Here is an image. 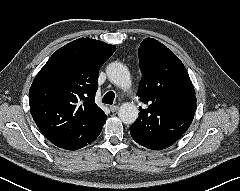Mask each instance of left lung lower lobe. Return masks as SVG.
Here are the masks:
<instances>
[{
    "label": "left lung lower lobe",
    "mask_w": 240,
    "mask_h": 191,
    "mask_svg": "<svg viewBox=\"0 0 240 191\" xmlns=\"http://www.w3.org/2000/svg\"><path fill=\"white\" fill-rule=\"evenodd\" d=\"M141 122L143 121L138 120L135 125L132 124L130 127L132 138L140 145L153 150H161L173 145L177 141L170 138L167 132L161 131L160 127L157 128L154 125H150L153 128H150V132L147 135L143 134Z\"/></svg>",
    "instance_id": "left-lung-lower-lobe-1"
}]
</instances>
